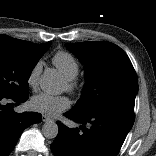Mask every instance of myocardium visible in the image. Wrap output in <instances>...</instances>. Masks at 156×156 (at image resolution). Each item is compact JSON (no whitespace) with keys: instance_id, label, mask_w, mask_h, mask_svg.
<instances>
[{"instance_id":"1","label":"myocardium","mask_w":156,"mask_h":156,"mask_svg":"<svg viewBox=\"0 0 156 156\" xmlns=\"http://www.w3.org/2000/svg\"><path fill=\"white\" fill-rule=\"evenodd\" d=\"M66 90L70 93H75L78 89V81L75 78H65Z\"/></svg>"}]
</instances>
